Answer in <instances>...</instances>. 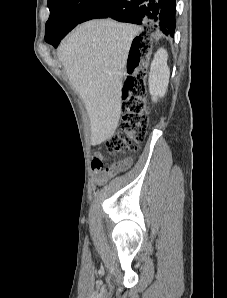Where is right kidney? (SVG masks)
I'll use <instances>...</instances> for the list:
<instances>
[{"mask_svg":"<svg viewBox=\"0 0 227 298\" xmlns=\"http://www.w3.org/2000/svg\"><path fill=\"white\" fill-rule=\"evenodd\" d=\"M168 54L165 49H159L154 55L149 73V91L153 101L158 97H164L170 77V70L167 65Z\"/></svg>","mask_w":227,"mask_h":298,"instance_id":"right-kidney-1","label":"right kidney"}]
</instances>
